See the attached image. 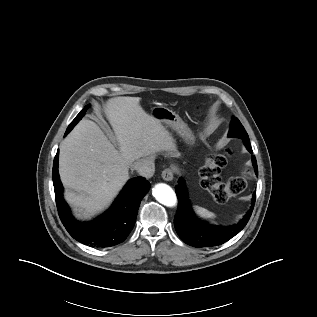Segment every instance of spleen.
Wrapping results in <instances>:
<instances>
[{"label":"spleen","mask_w":317,"mask_h":317,"mask_svg":"<svg viewBox=\"0 0 317 317\" xmlns=\"http://www.w3.org/2000/svg\"><path fill=\"white\" fill-rule=\"evenodd\" d=\"M194 210L198 216L204 219H213L216 217V215L213 212H210L207 209L199 206H194Z\"/></svg>","instance_id":"1"}]
</instances>
